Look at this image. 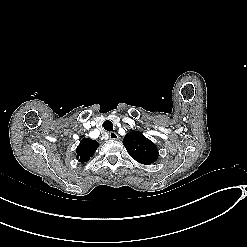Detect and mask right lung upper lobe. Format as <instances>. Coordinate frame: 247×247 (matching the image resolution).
<instances>
[{
    "label": "right lung upper lobe",
    "mask_w": 247,
    "mask_h": 247,
    "mask_svg": "<svg viewBox=\"0 0 247 247\" xmlns=\"http://www.w3.org/2000/svg\"><path fill=\"white\" fill-rule=\"evenodd\" d=\"M98 148V143L95 140L84 138L77 147V159L80 162L88 161Z\"/></svg>",
    "instance_id": "obj_1"
}]
</instances>
